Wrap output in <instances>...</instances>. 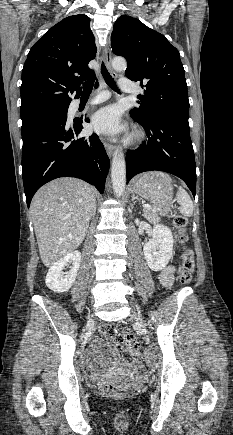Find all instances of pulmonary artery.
I'll return each instance as SVG.
<instances>
[{"mask_svg":"<svg viewBox=\"0 0 233 435\" xmlns=\"http://www.w3.org/2000/svg\"><path fill=\"white\" fill-rule=\"evenodd\" d=\"M119 89L123 93H131L134 91V87L132 86V80L129 78H122L119 80ZM108 98V95L105 92H101L94 97H92L86 104H97L102 101H105ZM76 106L79 105V101H76Z\"/></svg>","mask_w":233,"mask_h":435,"instance_id":"1","label":"pulmonary artery"}]
</instances>
